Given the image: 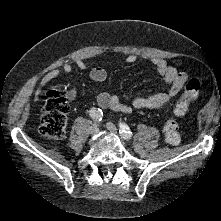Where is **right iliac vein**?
Segmentation results:
<instances>
[{"label": "right iliac vein", "mask_w": 221, "mask_h": 221, "mask_svg": "<svg viewBox=\"0 0 221 221\" xmlns=\"http://www.w3.org/2000/svg\"><path fill=\"white\" fill-rule=\"evenodd\" d=\"M98 131H99V128H98L96 125L92 126L91 129H90V133H91L92 135L97 134Z\"/></svg>", "instance_id": "63e3f726"}]
</instances>
